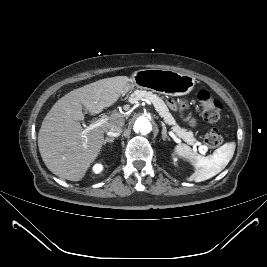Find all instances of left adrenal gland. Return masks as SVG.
<instances>
[{"mask_svg": "<svg viewBox=\"0 0 267 267\" xmlns=\"http://www.w3.org/2000/svg\"><path fill=\"white\" fill-rule=\"evenodd\" d=\"M162 138L164 141H166L167 139H169L168 135H167V129L165 124L162 122Z\"/></svg>", "mask_w": 267, "mask_h": 267, "instance_id": "obj_1", "label": "left adrenal gland"}]
</instances>
